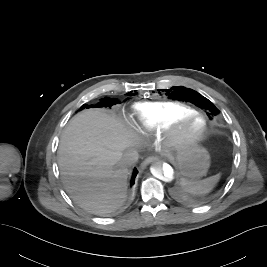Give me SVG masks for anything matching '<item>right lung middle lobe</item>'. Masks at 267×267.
<instances>
[{
    "label": "right lung middle lobe",
    "instance_id": "obj_1",
    "mask_svg": "<svg viewBox=\"0 0 267 267\" xmlns=\"http://www.w3.org/2000/svg\"><path fill=\"white\" fill-rule=\"evenodd\" d=\"M116 104V100H110L109 98H103L101 102H99L97 105H92V106H88V108L90 107H111L112 105ZM87 105H83L81 107L82 108H85Z\"/></svg>",
    "mask_w": 267,
    "mask_h": 267
}]
</instances>
